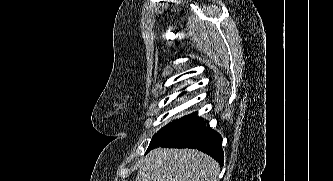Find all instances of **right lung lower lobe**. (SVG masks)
I'll return each instance as SVG.
<instances>
[{"mask_svg":"<svg viewBox=\"0 0 333 181\" xmlns=\"http://www.w3.org/2000/svg\"><path fill=\"white\" fill-rule=\"evenodd\" d=\"M159 146L166 148L198 149L216 159L219 164L223 166L224 153L222 150L221 135L211 129L209 125L206 126V121H202L194 129L173 143L167 145H158L156 147ZM153 148L148 149L147 152Z\"/></svg>","mask_w":333,"mask_h":181,"instance_id":"obj_1","label":"right lung lower lobe"}]
</instances>
